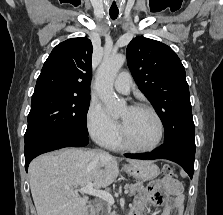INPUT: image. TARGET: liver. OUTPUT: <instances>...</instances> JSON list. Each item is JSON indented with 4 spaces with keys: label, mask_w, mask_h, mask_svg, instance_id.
Listing matches in <instances>:
<instances>
[{
    "label": "liver",
    "mask_w": 223,
    "mask_h": 215,
    "mask_svg": "<svg viewBox=\"0 0 223 215\" xmlns=\"http://www.w3.org/2000/svg\"><path fill=\"white\" fill-rule=\"evenodd\" d=\"M140 163L141 159H127ZM30 187L38 215H84L87 195L81 197L76 187L93 181L94 187H106L116 179V157H102L98 151L62 149L44 153L29 165Z\"/></svg>",
    "instance_id": "1"
}]
</instances>
